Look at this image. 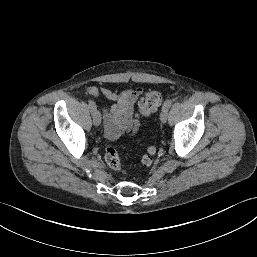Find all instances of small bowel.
I'll return each instance as SVG.
<instances>
[{"label":"small bowel","mask_w":257,"mask_h":257,"mask_svg":"<svg viewBox=\"0 0 257 257\" xmlns=\"http://www.w3.org/2000/svg\"><path fill=\"white\" fill-rule=\"evenodd\" d=\"M85 92L95 97H105L116 103L103 109L105 136L115 140L123 132H136L140 126L135 104L144 93L142 88H129L115 92L105 87L88 86Z\"/></svg>","instance_id":"1"}]
</instances>
